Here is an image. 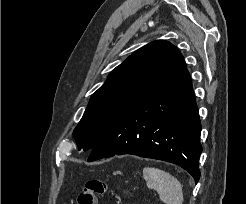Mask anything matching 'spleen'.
I'll use <instances>...</instances> for the list:
<instances>
[{
  "instance_id": "spleen-1",
  "label": "spleen",
  "mask_w": 246,
  "mask_h": 204,
  "mask_svg": "<svg viewBox=\"0 0 246 204\" xmlns=\"http://www.w3.org/2000/svg\"><path fill=\"white\" fill-rule=\"evenodd\" d=\"M143 178L149 189L158 192L160 200L165 204H182L183 187L180 181L170 173L159 168L144 167Z\"/></svg>"
}]
</instances>
